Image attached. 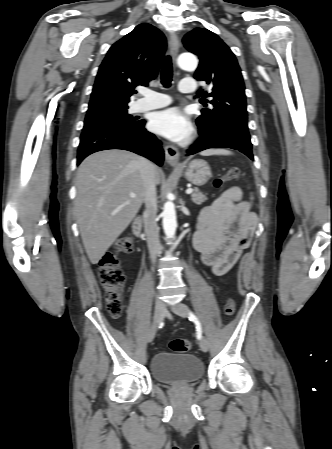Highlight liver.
Returning a JSON list of instances; mask_svg holds the SVG:
<instances>
[{"label":"liver","mask_w":332,"mask_h":449,"mask_svg":"<svg viewBox=\"0 0 332 449\" xmlns=\"http://www.w3.org/2000/svg\"><path fill=\"white\" fill-rule=\"evenodd\" d=\"M139 159L128 151L105 150L88 156L78 168L75 215L92 264L101 260L144 202ZM154 169L159 184L160 170Z\"/></svg>","instance_id":"6515ba94"}]
</instances>
